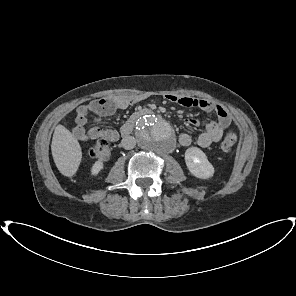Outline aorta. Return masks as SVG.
Instances as JSON below:
<instances>
[{
	"label": "aorta",
	"instance_id": "1",
	"mask_svg": "<svg viewBox=\"0 0 296 296\" xmlns=\"http://www.w3.org/2000/svg\"><path fill=\"white\" fill-rule=\"evenodd\" d=\"M136 138L142 149L158 155L172 151L175 146L172 126L155 115H146L139 120Z\"/></svg>",
	"mask_w": 296,
	"mask_h": 296
}]
</instances>
